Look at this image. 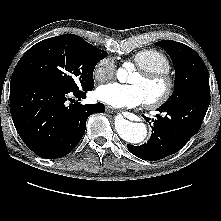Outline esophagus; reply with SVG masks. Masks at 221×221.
<instances>
[{"label":"esophagus","instance_id":"34e87169","mask_svg":"<svg viewBox=\"0 0 221 221\" xmlns=\"http://www.w3.org/2000/svg\"><path fill=\"white\" fill-rule=\"evenodd\" d=\"M106 112H107V113H113V112H115V109L112 108V107H110V106H108V107L106 108ZM117 112H122V111H117Z\"/></svg>","mask_w":221,"mask_h":221}]
</instances>
